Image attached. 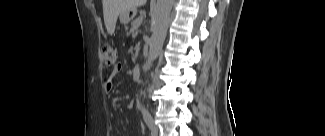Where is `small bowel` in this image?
I'll use <instances>...</instances> for the list:
<instances>
[{
	"label": "small bowel",
	"mask_w": 325,
	"mask_h": 136,
	"mask_svg": "<svg viewBox=\"0 0 325 136\" xmlns=\"http://www.w3.org/2000/svg\"><path fill=\"white\" fill-rule=\"evenodd\" d=\"M119 71H120V66L116 67L109 75V77L105 80L104 88L106 92H110L112 90L114 77L118 74Z\"/></svg>",
	"instance_id": "1"
}]
</instances>
